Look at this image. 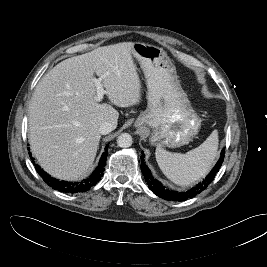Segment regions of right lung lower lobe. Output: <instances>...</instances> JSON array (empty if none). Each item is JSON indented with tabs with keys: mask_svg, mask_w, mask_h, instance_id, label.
Here are the masks:
<instances>
[{
	"mask_svg": "<svg viewBox=\"0 0 267 267\" xmlns=\"http://www.w3.org/2000/svg\"><path fill=\"white\" fill-rule=\"evenodd\" d=\"M107 148H108V145L105 148V152L101 156L99 165L96 168V170L91 174V176L89 178L84 179L81 182L59 181V180L51 177L50 175H48L45 171H43V169H41L38 164H35L34 160H32V162L34 163L36 171L39 173V175L53 189L61 191V192H65V193L85 192V191L89 190L93 185H96V183L103 176L105 162L107 159ZM28 150H29V148H28ZM30 157L32 159L31 154H30Z\"/></svg>",
	"mask_w": 267,
	"mask_h": 267,
	"instance_id": "obj_1",
	"label": "right lung lower lobe"
}]
</instances>
